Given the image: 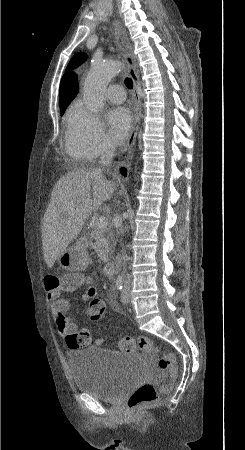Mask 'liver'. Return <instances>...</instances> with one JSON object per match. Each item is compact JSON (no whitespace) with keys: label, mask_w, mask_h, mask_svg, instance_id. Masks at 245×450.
Listing matches in <instances>:
<instances>
[{"label":"liver","mask_w":245,"mask_h":450,"mask_svg":"<svg viewBox=\"0 0 245 450\" xmlns=\"http://www.w3.org/2000/svg\"><path fill=\"white\" fill-rule=\"evenodd\" d=\"M115 189V183L108 181L101 169H76L55 183L41 226L44 260L49 268Z\"/></svg>","instance_id":"1"}]
</instances>
